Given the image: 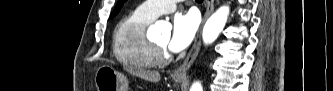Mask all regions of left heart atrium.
Segmentation results:
<instances>
[{"instance_id":"1","label":"left heart atrium","mask_w":333,"mask_h":91,"mask_svg":"<svg viewBox=\"0 0 333 91\" xmlns=\"http://www.w3.org/2000/svg\"><path fill=\"white\" fill-rule=\"evenodd\" d=\"M199 26V18L189 12L175 16L167 47L177 53L187 48L193 41Z\"/></svg>"}]
</instances>
